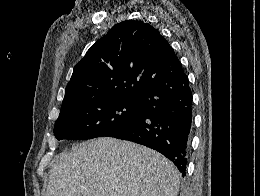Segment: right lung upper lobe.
Here are the masks:
<instances>
[{"label":"right lung upper lobe","instance_id":"obj_1","mask_svg":"<svg viewBox=\"0 0 260 196\" xmlns=\"http://www.w3.org/2000/svg\"><path fill=\"white\" fill-rule=\"evenodd\" d=\"M183 72L157 29L143 21H123L74 67L61 109L108 94L139 98Z\"/></svg>","mask_w":260,"mask_h":196}]
</instances>
